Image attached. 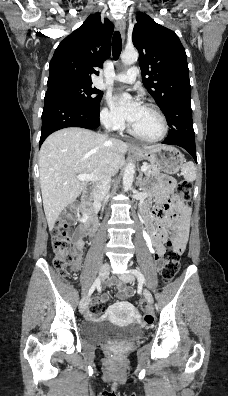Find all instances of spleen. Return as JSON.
Masks as SVG:
<instances>
[{
    "mask_svg": "<svg viewBox=\"0 0 228 396\" xmlns=\"http://www.w3.org/2000/svg\"><path fill=\"white\" fill-rule=\"evenodd\" d=\"M181 174L187 182H193L196 179V168L193 162H187L181 167Z\"/></svg>",
    "mask_w": 228,
    "mask_h": 396,
    "instance_id": "spleen-1",
    "label": "spleen"
}]
</instances>
